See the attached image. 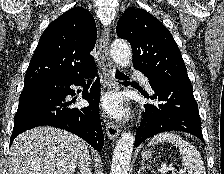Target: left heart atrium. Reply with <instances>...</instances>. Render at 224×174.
I'll use <instances>...</instances> for the list:
<instances>
[{
	"label": "left heart atrium",
	"instance_id": "39dd6f15",
	"mask_svg": "<svg viewBox=\"0 0 224 174\" xmlns=\"http://www.w3.org/2000/svg\"><path fill=\"white\" fill-rule=\"evenodd\" d=\"M103 107L112 116L121 117L125 115L120 99L115 95H108L103 99Z\"/></svg>",
	"mask_w": 224,
	"mask_h": 174
}]
</instances>
